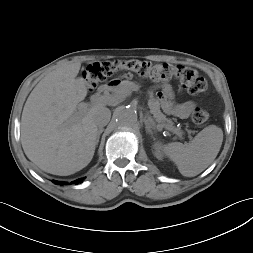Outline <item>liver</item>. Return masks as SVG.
Segmentation results:
<instances>
[{"mask_svg":"<svg viewBox=\"0 0 253 253\" xmlns=\"http://www.w3.org/2000/svg\"><path fill=\"white\" fill-rule=\"evenodd\" d=\"M80 62H67L49 72L30 93L21 117L23 150L41 170L60 176L74 174L93 158L99 102L73 120L87 95L84 78H76Z\"/></svg>","mask_w":253,"mask_h":253,"instance_id":"6515ba94","label":"liver"}]
</instances>
